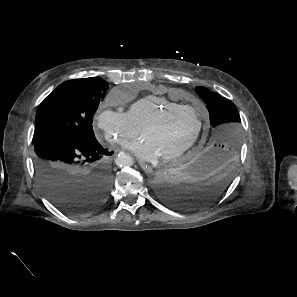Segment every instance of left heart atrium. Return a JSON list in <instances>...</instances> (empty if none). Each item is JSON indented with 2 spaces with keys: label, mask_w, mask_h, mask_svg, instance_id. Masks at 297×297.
<instances>
[{
  "label": "left heart atrium",
  "mask_w": 297,
  "mask_h": 297,
  "mask_svg": "<svg viewBox=\"0 0 297 297\" xmlns=\"http://www.w3.org/2000/svg\"><path fill=\"white\" fill-rule=\"evenodd\" d=\"M126 148L143 161H155L161 157L154 143L145 137L128 143Z\"/></svg>",
  "instance_id": "obj_1"
}]
</instances>
